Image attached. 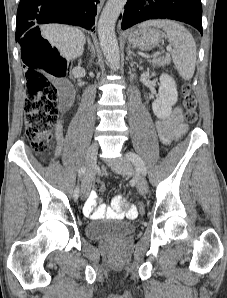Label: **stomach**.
<instances>
[{"mask_svg":"<svg viewBox=\"0 0 227 298\" xmlns=\"http://www.w3.org/2000/svg\"><path fill=\"white\" fill-rule=\"evenodd\" d=\"M162 39V33L151 26H140L128 36V42L143 51L155 48L161 43Z\"/></svg>","mask_w":227,"mask_h":298,"instance_id":"obj_1","label":"stomach"}]
</instances>
